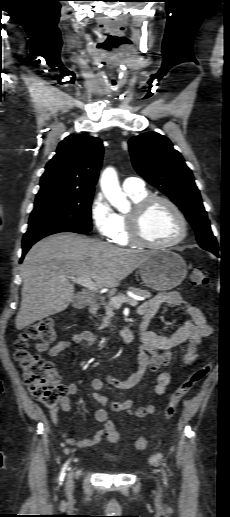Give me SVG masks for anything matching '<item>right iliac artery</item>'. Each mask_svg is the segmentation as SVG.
Masks as SVG:
<instances>
[{
  "mask_svg": "<svg viewBox=\"0 0 230 517\" xmlns=\"http://www.w3.org/2000/svg\"><path fill=\"white\" fill-rule=\"evenodd\" d=\"M67 464L68 463H66L64 465V467L62 468V471H61V474H60V481H63L64 475H65V470L67 469Z\"/></svg>",
  "mask_w": 230,
  "mask_h": 517,
  "instance_id": "1",
  "label": "right iliac artery"
}]
</instances>
